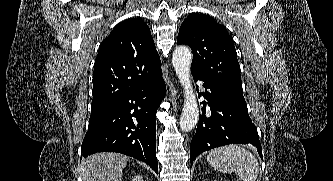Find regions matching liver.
Returning <instances> with one entry per match:
<instances>
[{
  "label": "liver",
  "instance_id": "6515ba94",
  "mask_svg": "<svg viewBox=\"0 0 333 181\" xmlns=\"http://www.w3.org/2000/svg\"><path fill=\"white\" fill-rule=\"evenodd\" d=\"M128 156L114 152H100L81 162L83 181H121Z\"/></svg>",
  "mask_w": 333,
  "mask_h": 181
}]
</instances>
